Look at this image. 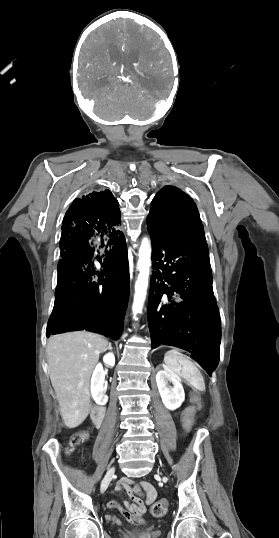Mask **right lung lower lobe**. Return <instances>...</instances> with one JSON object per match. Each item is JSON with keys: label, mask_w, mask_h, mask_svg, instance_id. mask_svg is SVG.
Wrapping results in <instances>:
<instances>
[{"label": "right lung lower lobe", "mask_w": 279, "mask_h": 538, "mask_svg": "<svg viewBox=\"0 0 279 538\" xmlns=\"http://www.w3.org/2000/svg\"><path fill=\"white\" fill-rule=\"evenodd\" d=\"M119 203L109 190L73 201L62 222L55 303L46 335L96 330L118 339L129 297Z\"/></svg>", "instance_id": "98d812e1"}]
</instances>
